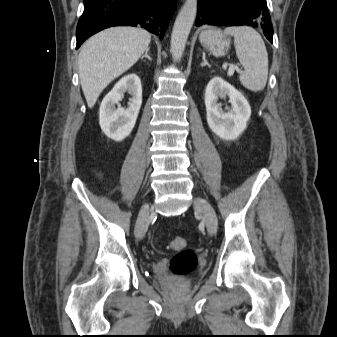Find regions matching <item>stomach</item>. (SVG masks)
<instances>
[{
    "instance_id": "1",
    "label": "stomach",
    "mask_w": 337,
    "mask_h": 337,
    "mask_svg": "<svg viewBox=\"0 0 337 337\" xmlns=\"http://www.w3.org/2000/svg\"><path fill=\"white\" fill-rule=\"evenodd\" d=\"M199 40L201 45L216 57L224 56L230 47V39L216 28L202 31Z\"/></svg>"
}]
</instances>
